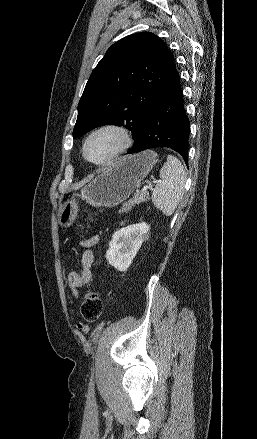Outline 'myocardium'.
I'll return each instance as SVG.
<instances>
[{
	"label": "myocardium",
	"mask_w": 257,
	"mask_h": 439,
	"mask_svg": "<svg viewBox=\"0 0 257 439\" xmlns=\"http://www.w3.org/2000/svg\"><path fill=\"white\" fill-rule=\"evenodd\" d=\"M113 132L117 135L118 139H119V146L118 148L111 154L109 155L107 158H105L104 160L101 161H94L91 160L88 155H87V147L88 144L90 142V140L96 136L99 133L102 132ZM131 135L129 130L120 125V124H116V123H107V124H103L99 127H97L96 129H94L93 131H91L89 133V135L86 137L84 144H83V148H82V154L84 159L89 162L90 164H93L95 166L98 167H103V166H107L109 164H111L113 161H115L117 158H119L130 146L131 144Z\"/></svg>",
	"instance_id": "1"
}]
</instances>
